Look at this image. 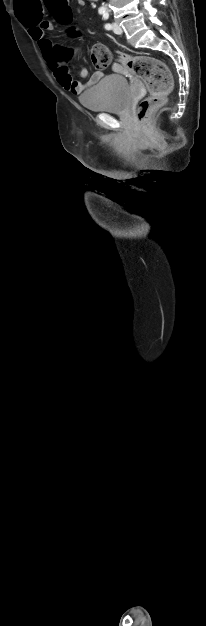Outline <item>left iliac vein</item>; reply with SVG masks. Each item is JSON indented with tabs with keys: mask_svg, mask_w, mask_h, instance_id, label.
<instances>
[{
	"mask_svg": "<svg viewBox=\"0 0 206 626\" xmlns=\"http://www.w3.org/2000/svg\"><path fill=\"white\" fill-rule=\"evenodd\" d=\"M112 27H113L114 33H116V34H121L122 33V28H121V26L117 22H114Z\"/></svg>",
	"mask_w": 206,
	"mask_h": 626,
	"instance_id": "4c4485c4",
	"label": "left iliac vein"
}]
</instances>
